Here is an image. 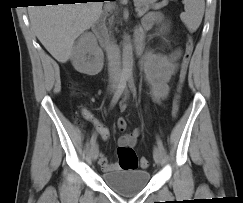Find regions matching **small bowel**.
<instances>
[{
	"mask_svg": "<svg viewBox=\"0 0 243 203\" xmlns=\"http://www.w3.org/2000/svg\"><path fill=\"white\" fill-rule=\"evenodd\" d=\"M160 21L158 13H150L144 17L142 26L139 30L138 36L143 37L144 34L150 33L152 28ZM151 36V35H149ZM181 56L180 50H174L170 53L154 52L152 49H147L141 59V69L144 74L145 81L150 87V94L152 99L157 103H162L168 96L169 85L174 75L178 70V60ZM128 107V102L123 101L120 104V110L124 111ZM84 114L94 125L96 132L106 140L109 138V129L91 113L85 111ZM117 127L124 132L127 127L126 120L119 118L117 120ZM140 136V129L136 128L130 133H124L118 140L120 146L134 147ZM98 162L101 168L106 172L118 170V163H111L108 161L103 153L98 155Z\"/></svg>",
	"mask_w": 243,
	"mask_h": 203,
	"instance_id": "c3829d8e",
	"label": "small bowel"
}]
</instances>
